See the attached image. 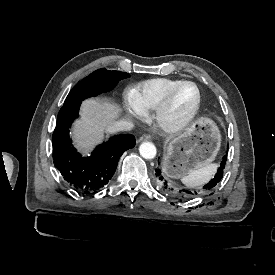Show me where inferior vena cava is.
<instances>
[{
	"mask_svg": "<svg viewBox=\"0 0 275 275\" xmlns=\"http://www.w3.org/2000/svg\"><path fill=\"white\" fill-rule=\"evenodd\" d=\"M132 127H133V124L131 122L119 121V122H114L113 125L108 128V131L110 133H114L118 131H127V130H130Z\"/></svg>",
	"mask_w": 275,
	"mask_h": 275,
	"instance_id": "obj_1",
	"label": "inferior vena cava"
}]
</instances>
